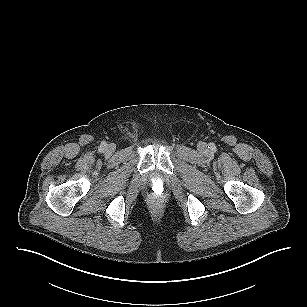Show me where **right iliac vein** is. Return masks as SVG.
Instances as JSON below:
<instances>
[{
  "label": "right iliac vein",
  "mask_w": 307,
  "mask_h": 307,
  "mask_svg": "<svg viewBox=\"0 0 307 307\" xmlns=\"http://www.w3.org/2000/svg\"><path fill=\"white\" fill-rule=\"evenodd\" d=\"M116 146L114 144H108L105 146L104 152L106 155H112L115 152Z\"/></svg>",
  "instance_id": "obj_1"
}]
</instances>
